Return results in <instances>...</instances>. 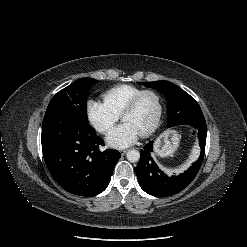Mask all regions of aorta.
Returning a JSON list of instances; mask_svg holds the SVG:
<instances>
[{
	"mask_svg": "<svg viewBox=\"0 0 247 247\" xmlns=\"http://www.w3.org/2000/svg\"><path fill=\"white\" fill-rule=\"evenodd\" d=\"M126 157L129 162L135 163L140 159V153L139 151L132 149L127 152Z\"/></svg>",
	"mask_w": 247,
	"mask_h": 247,
	"instance_id": "aorta-1",
	"label": "aorta"
}]
</instances>
